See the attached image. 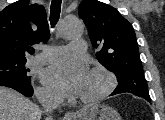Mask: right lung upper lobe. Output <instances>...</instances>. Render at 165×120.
I'll use <instances>...</instances> for the list:
<instances>
[{"mask_svg": "<svg viewBox=\"0 0 165 120\" xmlns=\"http://www.w3.org/2000/svg\"><path fill=\"white\" fill-rule=\"evenodd\" d=\"M50 37L43 6L20 0L0 12V60L25 58L33 44Z\"/></svg>", "mask_w": 165, "mask_h": 120, "instance_id": "1", "label": "right lung upper lobe"}]
</instances>
